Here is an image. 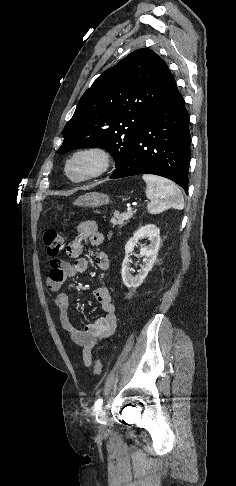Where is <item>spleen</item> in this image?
<instances>
[{"mask_svg": "<svg viewBox=\"0 0 236 486\" xmlns=\"http://www.w3.org/2000/svg\"><path fill=\"white\" fill-rule=\"evenodd\" d=\"M146 196L150 200L148 212L159 213L168 208L183 209L184 198L180 189L170 180L151 174H144Z\"/></svg>", "mask_w": 236, "mask_h": 486, "instance_id": "3e777b00", "label": "spleen"}]
</instances>
